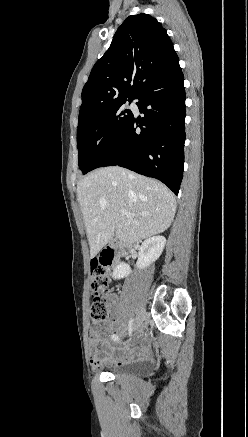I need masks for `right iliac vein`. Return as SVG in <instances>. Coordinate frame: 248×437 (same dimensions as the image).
I'll list each match as a JSON object with an SVG mask.
<instances>
[{
    "label": "right iliac vein",
    "mask_w": 248,
    "mask_h": 437,
    "mask_svg": "<svg viewBox=\"0 0 248 437\" xmlns=\"http://www.w3.org/2000/svg\"><path fill=\"white\" fill-rule=\"evenodd\" d=\"M144 316H145V311L142 309L139 311V313L135 319V322L133 324L134 330L138 329L142 325L143 320H144Z\"/></svg>",
    "instance_id": "1"
}]
</instances>
